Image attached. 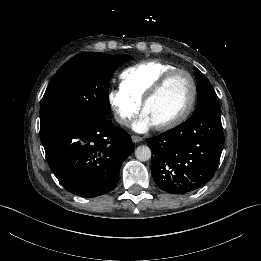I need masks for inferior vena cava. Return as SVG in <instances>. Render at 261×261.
<instances>
[{"label":"inferior vena cava","mask_w":261,"mask_h":261,"mask_svg":"<svg viewBox=\"0 0 261 261\" xmlns=\"http://www.w3.org/2000/svg\"><path fill=\"white\" fill-rule=\"evenodd\" d=\"M118 122L121 123V124H124L125 123V119L124 118L118 119Z\"/></svg>","instance_id":"obj_1"}]
</instances>
